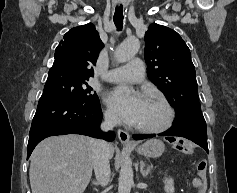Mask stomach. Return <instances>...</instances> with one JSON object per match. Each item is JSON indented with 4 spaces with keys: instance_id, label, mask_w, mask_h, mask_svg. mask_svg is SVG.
<instances>
[{
    "instance_id": "0dacf381",
    "label": "stomach",
    "mask_w": 237,
    "mask_h": 193,
    "mask_svg": "<svg viewBox=\"0 0 237 193\" xmlns=\"http://www.w3.org/2000/svg\"><path fill=\"white\" fill-rule=\"evenodd\" d=\"M165 146L162 141L158 139H151L146 141L141 146L136 148V151L146 157H159L163 154Z\"/></svg>"
}]
</instances>
